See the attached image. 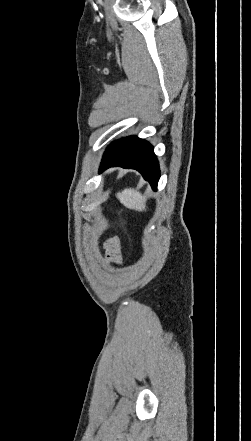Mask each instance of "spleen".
<instances>
[{
  "instance_id": "obj_1",
  "label": "spleen",
  "mask_w": 251,
  "mask_h": 441,
  "mask_svg": "<svg viewBox=\"0 0 251 441\" xmlns=\"http://www.w3.org/2000/svg\"><path fill=\"white\" fill-rule=\"evenodd\" d=\"M116 197L125 207L133 210L143 211L146 208L145 199L140 192L133 188H126L116 194Z\"/></svg>"
}]
</instances>
